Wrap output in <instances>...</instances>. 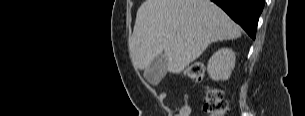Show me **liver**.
I'll list each match as a JSON object with an SVG mask.
<instances>
[{
  "mask_svg": "<svg viewBox=\"0 0 305 116\" xmlns=\"http://www.w3.org/2000/svg\"><path fill=\"white\" fill-rule=\"evenodd\" d=\"M240 35L239 26L210 0H146L137 11L130 53L141 70L164 53L167 70L178 74L211 42Z\"/></svg>",
  "mask_w": 305,
  "mask_h": 116,
  "instance_id": "obj_1",
  "label": "liver"
}]
</instances>
